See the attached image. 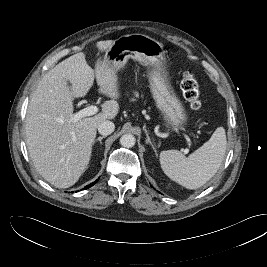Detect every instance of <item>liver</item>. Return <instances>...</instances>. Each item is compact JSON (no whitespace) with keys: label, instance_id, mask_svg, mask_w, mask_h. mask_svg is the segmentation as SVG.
<instances>
[{"label":"liver","instance_id":"liver-1","mask_svg":"<svg viewBox=\"0 0 267 267\" xmlns=\"http://www.w3.org/2000/svg\"><path fill=\"white\" fill-rule=\"evenodd\" d=\"M114 41L97 42L99 51ZM116 70L104 56L93 70L83 52L74 54L49 70L31 94L26 116V144L37 172L57 188L73 186L87 169L98 126L119 111ZM96 79L98 92L112 100L102 111L73 122V100L87 95Z\"/></svg>","mask_w":267,"mask_h":267}]
</instances>
